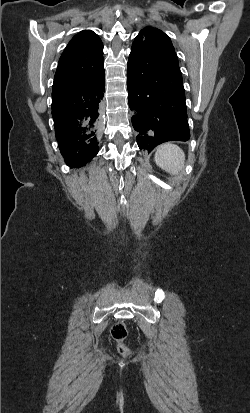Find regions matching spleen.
Instances as JSON below:
<instances>
[{
	"label": "spleen",
	"mask_w": 250,
	"mask_h": 413,
	"mask_svg": "<svg viewBox=\"0 0 250 413\" xmlns=\"http://www.w3.org/2000/svg\"><path fill=\"white\" fill-rule=\"evenodd\" d=\"M154 160L163 170L178 175L184 169L185 154L179 146L165 143L157 148Z\"/></svg>",
	"instance_id": "3e777b00"
}]
</instances>
